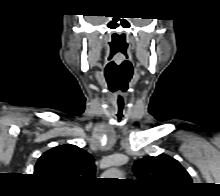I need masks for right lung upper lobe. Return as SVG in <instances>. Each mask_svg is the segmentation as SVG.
Returning <instances> with one entry per match:
<instances>
[{"mask_svg":"<svg viewBox=\"0 0 220 196\" xmlns=\"http://www.w3.org/2000/svg\"><path fill=\"white\" fill-rule=\"evenodd\" d=\"M34 174L61 184H81L95 178L94 158L75 145L56 146L39 158Z\"/></svg>","mask_w":220,"mask_h":196,"instance_id":"right-lung-upper-lobe-1","label":"right lung upper lobe"}]
</instances>
